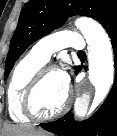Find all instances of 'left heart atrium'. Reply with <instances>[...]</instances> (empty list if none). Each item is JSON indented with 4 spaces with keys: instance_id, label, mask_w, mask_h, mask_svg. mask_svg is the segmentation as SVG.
I'll return each instance as SVG.
<instances>
[{
    "instance_id": "1",
    "label": "left heart atrium",
    "mask_w": 117,
    "mask_h": 136,
    "mask_svg": "<svg viewBox=\"0 0 117 136\" xmlns=\"http://www.w3.org/2000/svg\"><path fill=\"white\" fill-rule=\"evenodd\" d=\"M60 73V77H61V81L63 83V85L68 88L69 86V83H70V77H69V74L67 73L66 70H61L59 71Z\"/></svg>"
}]
</instances>
